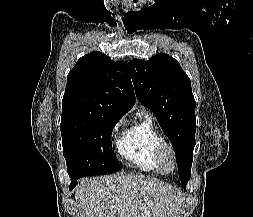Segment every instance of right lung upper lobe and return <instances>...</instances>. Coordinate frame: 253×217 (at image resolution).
<instances>
[{
  "label": "right lung upper lobe",
  "mask_w": 253,
  "mask_h": 217,
  "mask_svg": "<svg viewBox=\"0 0 253 217\" xmlns=\"http://www.w3.org/2000/svg\"><path fill=\"white\" fill-rule=\"evenodd\" d=\"M127 66L101 52L81 57L67 75L62 111L79 110L121 118L134 104Z\"/></svg>",
  "instance_id": "cb5924a9"
}]
</instances>
